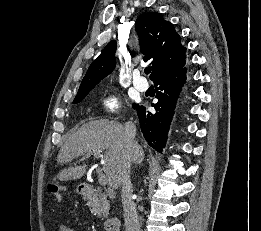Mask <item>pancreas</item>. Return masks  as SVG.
<instances>
[{"mask_svg":"<svg viewBox=\"0 0 261 231\" xmlns=\"http://www.w3.org/2000/svg\"><path fill=\"white\" fill-rule=\"evenodd\" d=\"M87 205L90 207L92 213L98 214L99 217L106 218L110 209L107 196L97 190V195L88 198Z\"/></svg>","mask_w":261,"mask_h":231,"instance_id":"1","label":"pancreas"}]
</instances>
